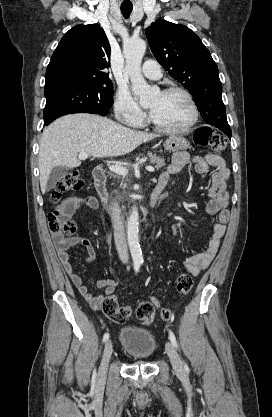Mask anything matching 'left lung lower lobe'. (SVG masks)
I'll return each mask as SVG.
<instances>
[{
  "instance_id": "obj_1",
  "label": "left lung lower lobe",
  "mask_w": 272,
  "mask_h": 417,
  "mask_svg": "<svg viewBox=\"0 0 272 417\" xmlns=\"http://www.w3.org/2000/svg\"><path fill=\"white\" fill-rule=\"evenodd\" d=\"M228 137H231V131H226V130H224L223 131Z\"/></svg>"
}]
</instances>
